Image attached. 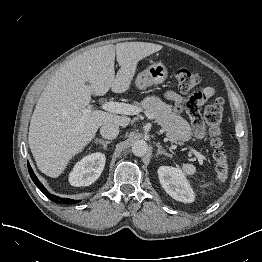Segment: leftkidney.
Masks as SVG:
<instances>
[{
    "mask_svg": "<svg viewBox=\"0 0 262 262\" xmlns=\"http://www.w3.org/2000/svg\"><path fill=\"white\" fill-rule=\"evenodd\" d=\"M158 177L164 190L175 200L191 203L195 194L182 171L175 167L161 166Z\"/></svg>",
    "mask_w": 262,
    "mask_h": 262,
    "instance_id": "left-kidney-1",
    "label": "left kidney"
}]
</instances>
